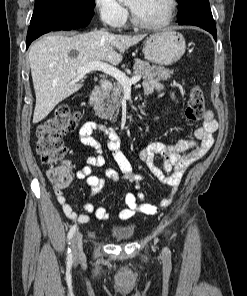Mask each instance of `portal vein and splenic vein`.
I'll list each match as a JSON object with an SVG mask.
<instances>
[{"instance_id":"1","label":"portal vein and splenic vein","mask_w":247,"mask_h":296,"mask_svg":"<svg viewBox=\"0 0 247 296\" xmlns=\"http://www.w3.org/2000/svg\"><path fill=\"white\" fill-rule=\"evenodd\" d=\"M91 71H101L114 77L117 82L122 85L123 89H130L132 84L137 83L141 79V75H136L132 78H129L124 72L120 71L116 67H113L101 61L87 63L84 66L80 67L77 70V73L80 76H84L86 73H89Z\"/></svg>"}]
</instances>
